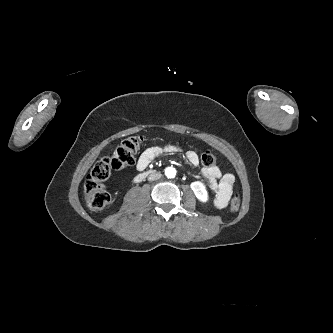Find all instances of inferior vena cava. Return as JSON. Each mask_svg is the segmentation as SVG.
<instances>
[{
	"mask_svg": "<svg viewBox=\"0 0 333 333\" xmlns=\"http://www.w3.org/2000/svg\"><path fill=\"white\" fill-rule=\"evenodd\" d=\"M161 178V174L160 173H151L148 177L149 181H154Z\"/></svg>",
	"mask_w": 333,
	"mask_h": 333,
	"instance_id": "obj_1",
	"label": "inferior vena cava"
}]
</instances>
